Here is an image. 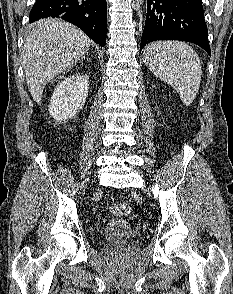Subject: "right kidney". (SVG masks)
Returning <instances> with one entry per match:
<instances>
[{"mask_svg": "<svg viewBox=\"0 0 233 294\" xmlns=\"http://www.w3.org/2000/svg\"><path fill=\"white\" fill-rule=\"evenodd\" d=\"M88 86L89 78L83 74H74L61 81L50 100L51 117L61 123L76 115L86 102Z\"/></svg>", "mask_w": 233, "mask_h": 294, "instance_id": "1", "label": "right kidney"}]
</instances>
